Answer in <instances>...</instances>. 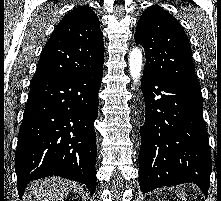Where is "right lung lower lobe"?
Listing matches in <instances>:
<instances>
[{
	"label": "right lung lower lobe",
	"instance_id": "1",
	"mask_svg": "<svg viewBox=\"0 0 221 201\" xmlns=\"http://www.w3.org/2000/svg\"><path fill=\"white\" fill-rule=\"evenodd\" d=\"M102 75L103 69L66 78L33 77L15 152L20 198L30 181L50 175L95 192L94 122Z\"/></svg>",
	"mask_w": 221,
	"mask_h": 201
}]
</instances>
